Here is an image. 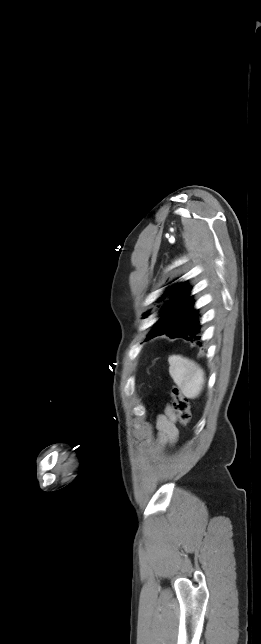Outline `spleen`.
<instances>
[{
  "label": "spleen",
  "mask_w": 261,
  "mask_h": 644,
  "mask_svg": "<svg viewBox=\"0 0 261 644\" xmlns=\"http://www.w3.org/2000/svg\"><path fill=\"white\" fill-rule=\"evenodd\" d=\"M169 374L182 394L190 399L197 398L203 390L205 373L195 362L180 356L168 358Z\"/></svg>",
  "instance_id": "spleen-1"
}]
</instances>
